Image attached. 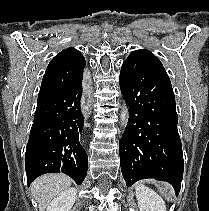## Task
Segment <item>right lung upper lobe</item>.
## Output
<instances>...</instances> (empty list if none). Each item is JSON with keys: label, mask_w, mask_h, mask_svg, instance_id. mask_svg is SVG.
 I'll return each mask as SVG.
<instances>
[{"label": "right lung upper lobe", "mask_w": 209, "mask_h": 211, "mask_svg": "<svg viewBox=\"0 0 209 211\" xmlns=\"http://www.w3.org/2000/svg\"><path fill=\"white\" fill-rule=\"evenodd\" d=\"M85 65L84 56L74 48H67L58 53L46 69L38 102L79 81Z\"/></svg>", "instance_id": "cb5924a9"}]
</instances>
